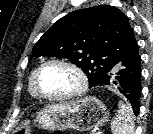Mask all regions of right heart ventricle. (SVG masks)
Listing matches in <instances>:
<instances>
[{"mask_svg": "<svg viewBox=\"0 0 153 134\" xmlns=\"http://www.w3.org/2000/svg\"><path fill=\"white\" fill-rule=\"evenodd\" d=\"M36 70H37V68L33 69L30 74L29 82H28V90H29V93L31 94V96H33L35 98H39V96L34 88V75H35Z\"/></svg>", "mask_w": 153, "mask_h": 134, "instance_id": "1", "label": "right heart ventricle"}]
</instances>
